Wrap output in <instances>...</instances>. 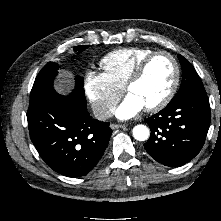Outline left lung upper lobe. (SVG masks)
I'll return each instance as SVG.
<instances>
[{
	"mask_svg": "<svg viewBox=\"0 0 221 221\" xmlns=\"http://www.w3.org/2000/svg\"><path fill=\"white\" fill-rule=\"evenodd\" d=\"M178 59L182 67V83L178 93L170 102H176L189 95L206 94L203 83L191 63L182 55H178Z\"/></svg>",
	"mask_w": 221,
	"mask_h": 221,
	"instance_id": "1",
	"label": "left lung upper lobe"
}]
</instances>
